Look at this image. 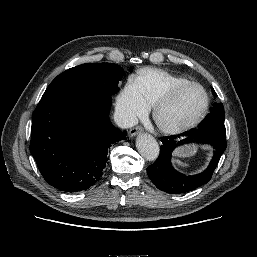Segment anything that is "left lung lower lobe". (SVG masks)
Returning <instances> with one entry per match:
<instances>
[{"label":"left lung lower lobe","mask_w":257,"mask_h":257,"mask_svg":"<svg viewBox=\"0 0 257 257\" xmlns=\"http://www.w3.org/2000/svg\"><path fill=\"white\" fill-rule=\"evenodd\" d=\"M186 138L180 142L176 139L179 135L162 137L160 155L157 160L147 168V174L155 186L167 193L182 194L190 192L204 184L211 178L216 169L221 155L226 149V133H217L208 130L191 129L181 136ZM198 142L209 144L215 151L208 167L201 173L187 176L176 171L171 163L173 150L182 143Z\"/></svg>","instance_id":"left-lung-lower-lobe-1"}]
</instances>
